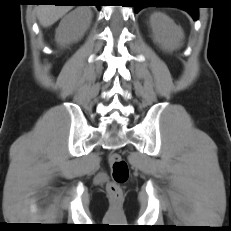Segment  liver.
Here are the masks:
<instances>
[{
  "label": "liver",
  "mask_w": 231,
  "mask_h": 231,
  "mask_svg": "<svg viewBox=\"0 0 231 231\" xmlns=\"http://www.w3.org/2000/svg\"><path fill=\"white\" fill-rule=\"evenodd\" d=\"M71 5H40L36 7L37 17L43 27H49L68 13Z\"/></svg>",
  "instance_id": "liver-1"
}]
</instances>
